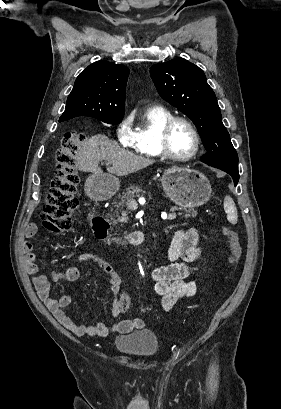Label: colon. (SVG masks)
Returning <instances> with one entry per match:
<instances>
[{"label": "colon", "instance_id": "5ec220e1", "mask_svg": "<svg viewBox=\"0 0 281 409\" xmlns=\"http://www.w3.org/2000/svg\"><path fill=\"white\" fill-rule=\"evenodd\" d=\"M86 136L79 130L64 134L61 148L57 151L58 170L48 196L47 204L41 212L43 226L53 234H59L71 227L72 215L77 207L74 196L78 176L75 170V155L85 143ZM222 232L229 249V265H234L240 256V245L234 231L224 226Z\"/></svg>", "mask_w": 281, "mask_h": 409}]
</instances>
